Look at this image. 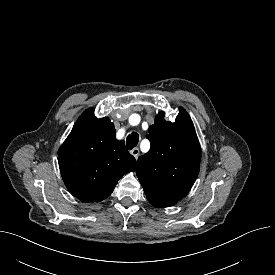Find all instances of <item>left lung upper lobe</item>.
I'll return each mask as SVG.
<instances>
[{"mask_svg": "<svg viewBox=\"0 0 275 275\" xmlns=\"http://www.w3.org/2000/svg\"><path fill=\"white\" fill-rule=\"evenodd\" d=\"M148 131L151 148L138 159L137 177L147 199L178 202L190 191L200 168L201 148L193 122L180 108L175 122L158 113Z\"/></svg>", "mask_w": 275, "mask_h": 275, "instance_id": "obj_1", "label": "left lung upper lobe"}]
</instances>
